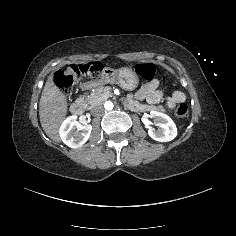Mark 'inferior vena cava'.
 <instances>
[{
  "label": "inferior vena cava",
  "instance_id": "obj_1",
  "mask_svg": "<svg viewBox=\"0 0 236 236\" xmlns=\"http://www.w3.org/2000/svg\"><path fill=\"white\" fill-rule=\"evenodd\" d=\"M90 111L93 115H98L103 112V106L101 104H95L91 107Z\"/></svg>",
  "mask_w": 236,
  "mask_h": 236
}]
</instances>
